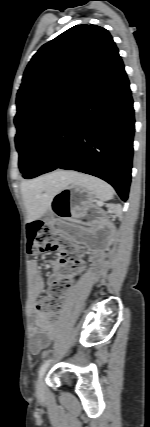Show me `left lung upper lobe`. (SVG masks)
Wrapping results in <instances>:
<instances>
[{"label": "left lung upper lobe", "mask_w": 150, "mask_h": 427, "mask_svg": "<svg viewBox=\"0 0 150 427\" xmlns=\"http://www.w3.org/2000/svg\"><path fill=\"white\" fill-rule=\"evenodd\" d=\"M118 53L109 32L76 25L44 44L29 62L17 93L15 143L25 173L41 142L87 81Z\"/></svg>", "instance_id": "obj_1"}]
</instances>
